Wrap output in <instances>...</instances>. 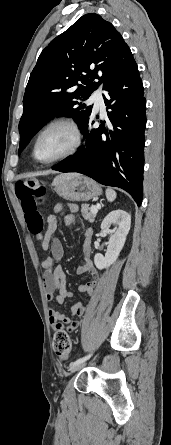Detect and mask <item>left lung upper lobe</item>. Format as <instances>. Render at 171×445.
Wrapping results in <instances>:
<instances>
[{
	"instance_id": "obj_1",
	"label": "left lung upper lobe",
	"mask_w": 171,
	"mask_h": 445,
	"mask_svg": "<svg viewBox=\"0 0 171 445\" xmlns=\"http://www.w3.org/2000/svg\"><path fill=\"white\" fill-rule=\"evenodd\" d=\"M133 63L130 48L110 22L94 13L82 16L42 51L30 74L19 123V152L55 116L72 117L82 130L92 106L78 100H86Z\"/></svg>"
}]
</instances>
